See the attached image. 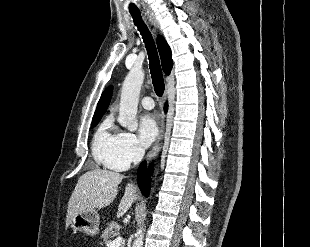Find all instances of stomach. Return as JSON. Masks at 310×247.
Here are the masks:
<instances>
[{"label": "stomach", "instance_id": "stomach-1", "mask_svg": "<svg viewBox=\"0 0 310 247\" xmlns=\"http://www.w3.org/2000/svg\"><path fill=\"white\" fill-rule=\"evenodd\" d=\"M99 214L96 210L79 212L70 222L74 231L82 232L84 235L93 236L99 231Z\"/></svg>", "mask_w": 310, "mask_h": 247}]
</instances>
